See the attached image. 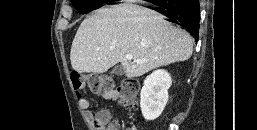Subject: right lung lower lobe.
<instances>
[{"instance_id":"1","label":"right lung lower lobe","mask_w":257,"mask_h":130,"mask_svg":"<svg viewBox=\"0 0 257 130\" xmlns=\"http://www.w3.org/2000/svg\"><path fill=\"white\" fill-rule=\"evenodd\" d=\"M163 8L166 20L183 26L191 31V35L198 41L200 5L199 0H169L157 4Z\"/></svg>"}]
</instances>
